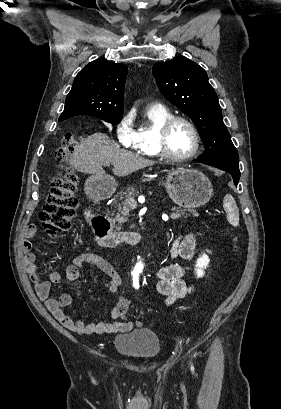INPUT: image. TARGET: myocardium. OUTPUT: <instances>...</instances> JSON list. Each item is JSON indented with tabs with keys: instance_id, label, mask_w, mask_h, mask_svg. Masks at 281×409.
I'll list each match as a JSON object with an SVG mask.
<instances>
[{
	"instance_id": "1",
	"label": "myocardium",
	"mask_w": 281,
	"mask_h": 409,
	"mask_svg": "<svg viewBox=\"0 0 281 409\" xmlns=\"http://www.w3.org/2000/svg\"><path fill=\"white\" fill-rule=\"evenodd\" d=\"M178 122L184 123L190 129L194 137V148L192 149L190 153L184 156L173 155L169 151L168 145H167V139H168L169 132L171 128ZM200 144H201V139H200V135H199L197 127L194 125V123L190 119L184 116L175 115V116L168 118L157 129V132H156L155 145H156L159 155L173 162H184V161L192 159L198 153L200 149Z\"/></svg>"
}]
</instances>
